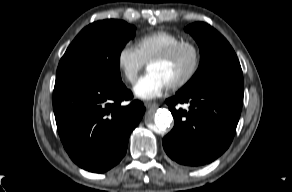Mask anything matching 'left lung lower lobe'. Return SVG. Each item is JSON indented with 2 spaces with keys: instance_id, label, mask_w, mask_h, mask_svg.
Returning <instances> with one entry per match:
<instances>
[{
  "instance_id": "obj_1",
  "label": "left lung lower lobe",
  "mask_w": 292,
  "mask_h": 192,
  "mask_svg": "<svg viewBox=\"0 0 292 192\" xmlns=\"http://www.w3.org/2000/svg\"><path fill=\"white\" fill-rule=\"evenodd\" d=\"M243 94L241 85H217L167 99L175 121L163 138L167 155L187 166L208 164L222 155L234 137ZM183 103L190 104L188 111L176 108Z\"/></svg>"
}]
</instances>
